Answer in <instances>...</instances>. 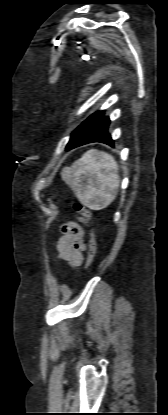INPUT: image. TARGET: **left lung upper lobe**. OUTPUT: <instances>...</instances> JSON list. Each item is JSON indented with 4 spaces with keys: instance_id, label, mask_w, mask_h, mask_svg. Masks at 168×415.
<instances>
[{
    "instance_id": "obj_1",
    "label": "left lung upper lobe",
    "mask_w": 168,
    "mask_h": 415,
    "mask_svg": "<svg viewBox=\"0 0 168 415\" xmlns=\"http://www.w3.org/2000/svg\"><path fill=\"white\" fill-rule=\"evenodd\" d=\"M100 113L101 111L94 113L87 120H85L75 131H73L70 137V141L67 144L66 150L75 143V141L82 135V133L90 126V124Z\"/></svg>"
}]
</instances>
